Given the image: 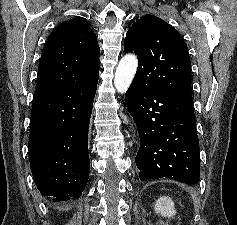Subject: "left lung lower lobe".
I'll return each mask as SVG.
<instances>
[{"label": "left lung lower lobe", "instance_id": "1", "mask_svg": "<svg viewBox=\"0 0 237 225\" xmlns=\"http://www.w3.org/2000/svg\"><path fill=\"white\" fill-rule=\"evenodd\" d=\"M125 101L139 130L141 144L135 160L140 179L196 184L200 150L192 96L147 91L132 82Z\"/></svg>", "mask_w": 237, "mask_h": 225}]
</instances>
